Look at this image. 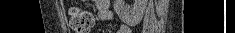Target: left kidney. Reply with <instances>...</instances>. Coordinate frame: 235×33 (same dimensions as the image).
<instances>
[{"label": "left kidney", "instance_id": "1", "mask_svg": "<svg viewBox=\"0 0 235 33\" xmlns=\"http://www.w3.org/2000/svg\"><path fill=\"white\" fill-rule=\"evenodd\" d=\"M148 0H134L132 6H128L125 0H114V11L119 18L128 25L137 24L142 19Z\"/></svg>", "mask_w": 235, "mask_h": 33}]
</instances>
